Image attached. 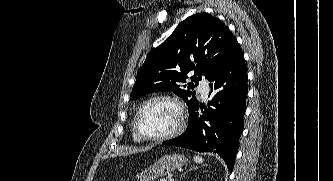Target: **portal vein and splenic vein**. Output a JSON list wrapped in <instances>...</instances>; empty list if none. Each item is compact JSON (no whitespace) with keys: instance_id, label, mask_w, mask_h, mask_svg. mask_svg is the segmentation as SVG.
Wrapping results in <instances>:
<instances>
[{"instance_id":"18ae733b","label":"portal vein and splenic vein","mask_w":333,"mask_h":181,"mask_svg":"<svg viewBox=\"0 0 333 181\" xmlns=\"http://www.w3.org/2000/svg\"><path fill=\"white\" fill-rule=\"evenodd\" d=\"M160 181H165V180L162 179V180H160ZM169 181H174V179L170 178Z\"/></svg>"}]
</instances>
